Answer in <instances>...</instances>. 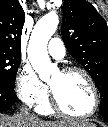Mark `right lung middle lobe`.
Returning a JSON list of instances; mask_svg holds the SVG:
<instances>
[{
    "label": "right lung middle lobe",
    "mask_w": 108,
    "mask_h": 127,
    "mask_svg": "<svg viewBox=\"0 0 108 127\" xmlns=\"http://www.w3.org/2000/svg\"><path fill=\"white\" fill-rule=\"evenodd\" d=\"M20 63V54L0 52V85L14 89Z\"/></svg>",
    "instance_id": "right-lung-middle-lobe-1"
}]
</instances>
